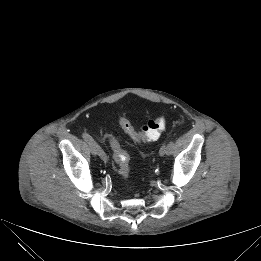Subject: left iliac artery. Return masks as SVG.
I'll return each mask as SVG.
<instances>
[{
    "label": "left iliac artery",
    "instance_id": "left-iliac-artery-1",
    "mask_svg": "<svg viewBox=\"0 0 261 261\" xmlns=\"http://www.w3.org/2000/svg\"><path fill=\"white\" fill-rule=\"evenodd\" d=\"M175 149V140L170 139L167 143V154H171Z\"/></svg>",
    "mask_w": 261,
    "mask_h": 261
}]
</instances>
